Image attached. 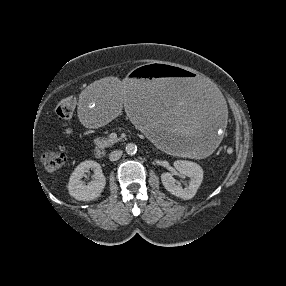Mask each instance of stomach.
<instances>
[{
    "label": "stomach",
    "mask_w": 286,
    "mask_h": 286,
    "mask_svg": "<svg viewBox=\"0 0 286 286\" xmlns=\"http://www.w3.org/2000/svg\"><path fill=\"white\" fill-rule=\"evenodd\" d=\"M76 109L93 127L117 120L126 111L154 144L180 155L213 149L227 115L225 97L213 82L171 62L142 66L125 83L100 76L80 91Z\"/></svg>",
    "instance_id": "0dacf381"
}]
</instances>
